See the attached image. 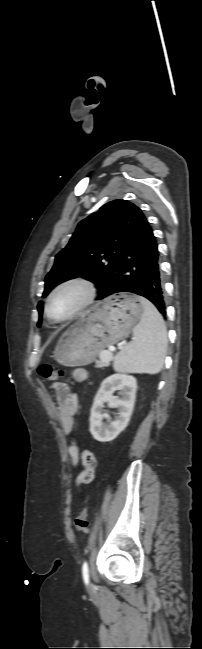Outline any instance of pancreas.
<instances>
[{"label": "pancreas", "instance_id": "1", "mask_svg": "<svg viewBox=\"0 0 202 649\" xmlns=\"http://www.w3.org/2000/svg\"><path fill=\"white\" fill-rule=\"evenodd\" d=\"M102 352H107L108 354H111V355H112V352H111V351H109V350H102V351L99 353V356L101 355ZM108 366H109V362L102 361L101 359H100V361H97V362H96V367H97V368H103V367H108Z\"/></svg>", "mask_w": 202, "mask_h": 649}]
</instances>
